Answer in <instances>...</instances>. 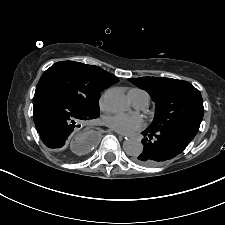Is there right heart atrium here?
<instances>
[{"instance_id": "right-heart-atrium-1", "label": "right heart atrium", "mask_w": 225, "mask_h": 225, "mask_svg": "<svg viewBox=\"0 0 225 225\" xmlns=\"http://www.w3.org/2000/svg\"><path fill=\"white\" fill-rule=\"evenodd\" d=\"M105 101H106V95H103L99 100V105L102 109H105Z\"/></svg>"}]
</instances>
